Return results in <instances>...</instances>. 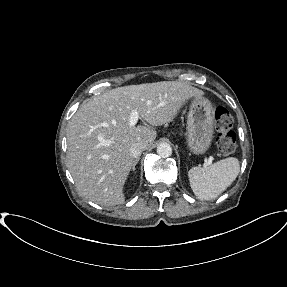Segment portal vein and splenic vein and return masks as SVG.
Returning <instances> with one entry per match:
<instances>
[{"mask_svg":"<svg viewBox=\"0 0 287 287\" xmlns=\"http://www.w3.org/2000/svg\"><path fill=\"white\" fill-rule=\"evenodd\" d=\"M138 119H139L138 113L136 111H132L130 118H129V125L134 126L137 123ZM210 163H211V160L208 162V164Z\"/></svg>","mask_w":287,"mask_h":287,"instance_id":"portal-vein-and-splenic-vein-1","label":"portal vein and splenic vein"}]
</instances>
